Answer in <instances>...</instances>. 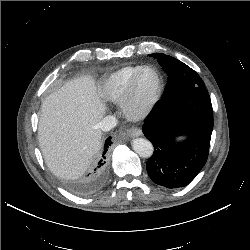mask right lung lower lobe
<instances>
[{
	"mask_svg": "<svg viewBox=\"0 0 250 250\" xmlns=\"http://www.w3.org/2000/svg\"><path fill=\"white\" fill-rule=\"evenodd\" d=\"M111 143V137H109L105 142L102 158L94 169V172L91 175L89 182L85 185L83 189L84 192H94L98 190L104 183L107 176L106 153L109 146H111Z\"/></svg>",
	"mask_w": 250,
	"mask_h": 250,
	"instance_id": "right-lung-lower-lobe-1",
	"label": "right lung lower lobe"
}]
</instances>
